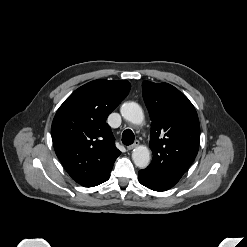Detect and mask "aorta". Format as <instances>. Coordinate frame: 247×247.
<instances>
[{
	"label": "aorta",
	"instance_id": "1",
	"mask_svg": "<svg viewBox=\"0 0 247 247\" xmlns=\"http://www.w3.org/2000/svg\"><path fill=\"white\" fill-rule=\"evenodd\" d=\"M120 112L125 120L133 124H141L144 120L143 110L136 102H125L121 106ZM132 160L137 167L146 168L150 163L149 149L143 145L135 147L132 151Z\"/></svg>",
	"mask_w": 247,
	"mask_h": 247
}]
</instances>
